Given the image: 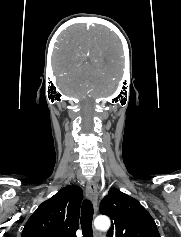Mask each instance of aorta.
<instances>
[{
	"instance_id": "aorta-1",
	"label": "aorta",
	"mask_w": 181,
	"mask_h": 237,
	"mask_svg": "<svg viewBox=\"0 0 181 237\" xmlns=\"http://www.w3.org/2000/svg\"><path fill=\"white\" fill-rule=\"evenodd\" d=\"M95 228L98 230H108L110 227V220L107 216H98L94 221Z\"/></svg>"
}]
</instances>
